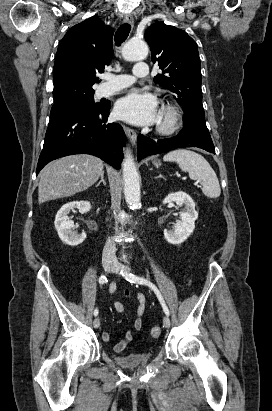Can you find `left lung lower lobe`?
<instances>
[{
	"label": "left lung lower lobe",
	"instance_id": "0a47b994",
	"mask_svg": "<svg viewBox=\"0 0 272 411\" xmlns=\"http://www.w3.org/2000/svg\"><path fill=\"white\" fill-rule=\"evenodd\" d=\"M137 145L138 160L180 147H198L215 154L210 133L204 123L184 124L180 133L169 139L153 140L139 134Z\"/></svg>",
	"mask_w": 272,
	"mask_h": 411
}]
</instances>
